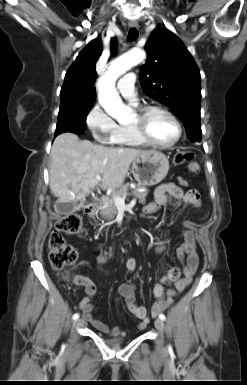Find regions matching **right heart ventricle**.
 Masks as SVG:
<instances>
[{
    "mask_svg": "<svg viewBox=\"0 0 247 385\" xmlns=\"http://www.w3.org/2000/svg\"><path fill=\"white\" fill-rule=\"evenodd\" d=\"M114 144L140 147L145 143L137 136L131 125L119 124L114 136Z\"/></svg>",
    "mask_w": 247,
    "mask_h": 385,
    "instance_id": "1",
    "label": "right heart ventricle"
}]
</instances>
